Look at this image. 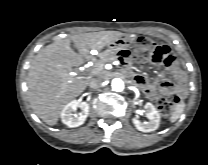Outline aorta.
<instances>
[{"instance_id": "762f6f07", "label": "aorta", "mask_w": 208, "mask_h": 165, "mask_svg": "<svg viewBox=\"0 0 208 165\" xmlns=\"http://www.w3.org/2000/svg\"><path fill=\"white\" fill-rule=\"evenodd\" d=\"M112 89L116 92H121L124 89V82L120 78H114L111 83Z\"/></svg>"}]
</instances>
